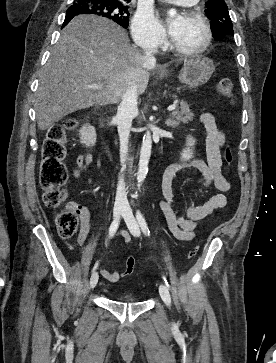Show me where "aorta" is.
<instances>
[{
    "label": "aorta",
    "mask_w": 276,
    "mask_h": 363,
    "mask_svg": "<svg viewBox=\"0 0 276 363\" xmlns=\"http://www.w3.org/2000/svg\"><path fill=\"white\" fill-rule=\"evenodd\" d=\"M168 15L170 17H175L177 15V11L175 9H170L168 11ZM151 148H152V137L151 133L148 131L143 138L140 151L139 169L137 173L138 183H142L148 173V163L151 156Z\"/></svg>",
    "instance_id": "aorta-1"
}]
</instances>
